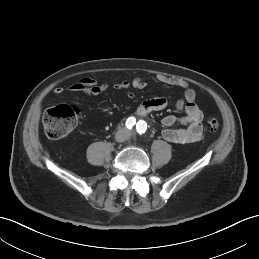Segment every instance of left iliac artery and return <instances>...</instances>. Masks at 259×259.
Returning a JSON list of instances; mask_svg holds the SVG:
<instances>
[{
    "label": "left iliac artery",
    "instance_id": "left-iliac-artery-1",
    "mask_svg": "<svg viewBox=\"0 0 259 259\" xmlns=\"http://www.w3.org/2000/svg\"><path fill=\"white\" fill-rule=\"evenodd\" d=\"M137 132L139 134L145 133L147 129V124L145 121L140 120L136 125Z\"/></svg>",
    "mask_w": 259,
    "mask_h": 259
}]
</instances>
